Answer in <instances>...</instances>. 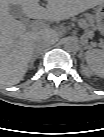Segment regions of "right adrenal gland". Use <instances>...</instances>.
<instances>
[{
  "mask_svg": "<svg viewBox=\"0 0 104 137\" xmlns=\"http://www.w3.org/2000/svg\"><path fill=\"white\" fill-rule=\"evenodd\" d=\"M38 58V56H34L32 60L30 61V64L33 65L34 61Z\"/></svg>",
  "mask_w": 104,
  "mask_h": 137,
  "instance_id": "1",
  "label": "right adrenal gland"
}]
</instances>
